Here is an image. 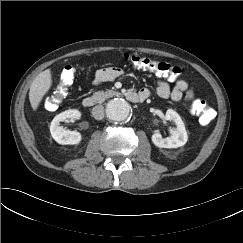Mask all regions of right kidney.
I'll return each mask as SVG.
<instances>
[{"label":"right kidney","instance_id":"ca27d5eb","mask_svg":"<svg viewBox=\"0 0 243 243\" xmlns=\"http://www.w3.org/2000/svg\"><path fill=\"white\" fill-rule=\"evenodd\" d=\"M81 113L76 109L66 110L54 117L50 125L52 138L62 145H75L80 143L82 136L77 131H70L60 126V122L66 119H79Z\"/></svg>","mask_w":243,"mask_h":243}]
</instances>
